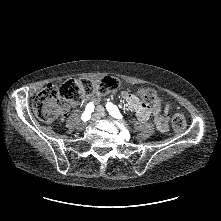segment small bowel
<instances>
[{
  "label": "small bowel",
  "mask_w": 221,
  "mask_h": 221,
  "mask_svg": "<svg viewBox=\"0 0 221 221\" xmlns=\"http://www.w3.org/2000/svg\"><path fill=\"white\" fill-rule=\"evenodd\" d=\"M66 83H67L66 77H59V78L52 79L53 85H64ZM121 96L125 99L128 108L131 111L135 112L139 120L146 121L149 118L150 113L153 112L156 128L160 132L168 131V128H169L168 122L166 118L161 114L159 107H154V108L149 107L148 105L140 102L138 97L135 94L128 92V91H122ZM89 101L97 104L100 102V98L97 96H92L90 97ZM169 109H170V104L167 103L166 110H169ZM99 111L100 110L98 109V114H99Z\"/></svg>",
  "instance_id": "small-bowel-1"
}]
</instances>
